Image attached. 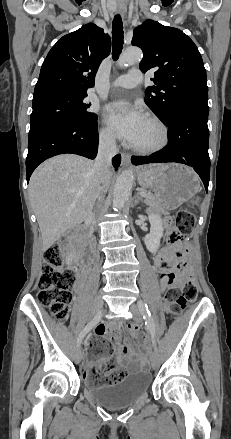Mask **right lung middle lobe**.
<instances>
[{
  "mask_svg": "<svg viewBox=\"0 0 231 439\" xmlns=\"http://www.w3.org/2000/svg\"><path fill=\"white\" fill-rule=\"evenodd\" d=\"M87 95L51 93L32 102L30 129L61 119H76L92 122L97 115L88 111L91 104L85 100Z\"/></svg>",
  "mask_w": 231,
  "mask_h": 439,
  "instance_id": "obj_1",
  "label": "right lung middle lobe"
}]
</instances>
